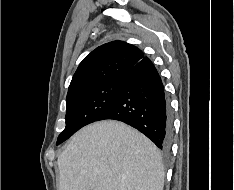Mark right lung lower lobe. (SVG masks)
Wrapping results in <instances>:
<instances>
[{
    "label": "right lung lower lobe",
    "mask_w": 234,
    "mask_h": 190,
    "mask_svg": "<svg viewBox=\"0 0 234 190\" xmlns=\"http://www.w3.org/2000/svg\"><path fill=\"white\" fill-rule=\"evenodd\" d=\"M122 121L142 132L163 151L172 138V116L162 80L148 57L123 78L113 105L98 119Z\"/></svg>",
    "instance_id": "right-lung-lower-lobe-1"
}]
</instances>
